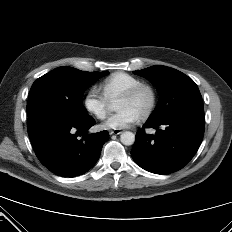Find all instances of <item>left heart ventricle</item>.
Wrapping results in <instances>:
<instances>
[{"label": "left heart ventricle", "instance_id": "1", "mask_svg": "<svg viewBox=\"0 0 232 232\" xmlns=\"http://www.w3.org/2000/svg\"><path fill=\"white\" fill-rule=\"evenodd\" d=\"M150 102V94L148 91H142L137 97L131 100H117L116 109H130L139 116L145 111Z\"/></svg>", "mask_w": 232, "mask_h": 232}]
</instances>
